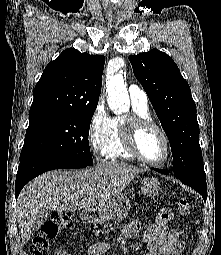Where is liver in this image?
<instances>
[{
  "instance_id": "liver-1",
  "label": "liver",
  "mask_w": 221,
  "mask_h": 255,
  "mask_svg": "<svg viewBox=\"0 0 221 255\" xmlns=\"http://www.w3.org/2000/svg\"><path fill=\"white\" fill-rule=\"evenodd\" d=\"M142 171L124 162L112 161L86 170H54L36 177L17 199L22 245L31 238L39 215L49 211L100 210Z\"/></svg>"
}]
</instances>
